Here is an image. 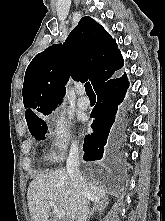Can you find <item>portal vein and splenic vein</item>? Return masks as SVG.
I'll return each instance as SVG.
<instances>
[{"instance_id":"obj_1","label":"portal vein and splenic vein","mask_w":165,"mask_h":221,"mask_svg":"<svg viewBox=\"0 0 165 221\" xmlns=\"http://www.w3.org/2000/svg\"><path fill=\"white\" fill-rule=\"evenodd\" d=\"M48 203L51 207H54V214L57 218H64L65 217L64 210L57 208L52 200H50Z\"/></svg>"}]
</instances>
